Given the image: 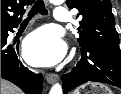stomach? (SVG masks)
<instances>
[{
  "instance_id": "obj_1",
  "label": "stomach",
  "mask_w": 121,
  "mask_h": 94,
  "mask_svg": "<svg viewBox=\"0 0 121 94\" xmlns=\"http://www.w3.org/2000/svg\"><path fill=\"white\" fill-rule=\"evenodd\" d=\"M72 94H113V92L103 84L89 82L76 89Z\"/></svg>"
}]
</instances>
